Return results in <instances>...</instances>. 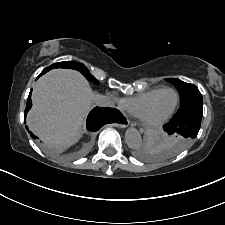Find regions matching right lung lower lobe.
Masks as SVG:
<instances>
[{
    "label": "right lung lower lobe",
    "mask_w": 225,
    "mask_h": 225,
    "mask_svg": "<svg viewBox=\"0 0 225 225\" xmlns=\"http://www.w3.org/2000/svg\"><path fill=\"white\" fill-rule=\"evenodd\" d=\"M49 70L50 69L45 68L38 77L42 76L43 74H45ZM31 106H32V102H31V91H30L28 99H27L26 109H25V117H26L27 112L31 108ZM118 114H119L118 111L116 109H113V108L96 107L90 112V114L87 118V129L90 130V131H97L104 124H106L107 122H109L113 118H116L118 116ZM26 129L28 130L27 127H26ZM30 135L33 139L36 138L32 133H30Z\"/></svg>",
    "instance_id": "obj_1"
}]
</instances>
